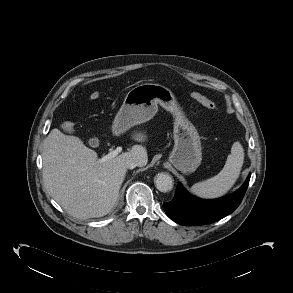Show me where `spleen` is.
Here are the masks:
<instances>
[{"label": "spleen", "instance_id": "1", "mask_svg": "<svg viewBox=\"0 0 293 293\" xmlns=\"http://www.w3.org/2000/svg\"><path fill=\"white\" fill-rule=\"evenodd\" d=\"M243 162L244 149L239 142H235L223 169L216 176L194 184L191 191L193 194L206 199H214L225 195L239 178Z\"/></svg>", "mask_w": 293, "mask_h": 293}]
</instances>
